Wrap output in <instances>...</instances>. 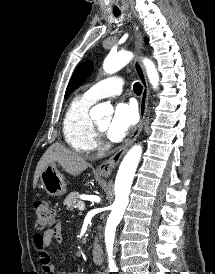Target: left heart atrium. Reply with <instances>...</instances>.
<instances>
[{
    "mask_svg": "<svg viewBox=\"0 0 215 274\" xmlns=\"http://www.w3.org/2000/svg\"><path fill=\"white\" fill-rule=\"evenodd\" d=\"M138 120L136 107L133 104L119 103L107 126V134L111 141H121L133 128Z\"/></svg>",
    "mask_w": 215,
    "mask_h": 274,
    "instance_id": "1",
    "label": "left heart atrium"
}]
</instances>
